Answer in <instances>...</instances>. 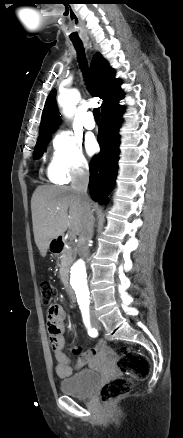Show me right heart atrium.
I'll return each instance as SVG.
<instances>
[{"mask_svg": "<svg viewBox=\"0 0 183 438\" xmlns=\"http://www.w3.org/2000/svg\"><path fill=\"white\" fill-rule=\"evenodd\" d=\"M88 170V161L80 140L68 131L58 132L52 141L49 177L58 183L68 182Z\"/></svg>", "mask_w": 183, "mask_h": 438, "instance_id": "1", "label": "right heart atrium"}]
</instances>
